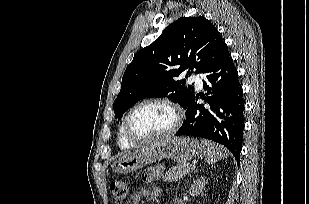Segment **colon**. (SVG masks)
Segmentation results:
<instances>
[{
  "instance_id": "1",
  "label": "colon",
  "mask_w": 309,
  "mask_h": 204,
  "mask_svg": "<svg viewBox=\"0 0 309 204\" xmlns=\"http://www.w3.org/2000/svg\"><path fill=\"white\" fill-rule=\"evenodd\" d=\"M110 192L116 203H122L128 192V184L122 180H114L110 184Z\"/></svg>"
}]
</instances>
